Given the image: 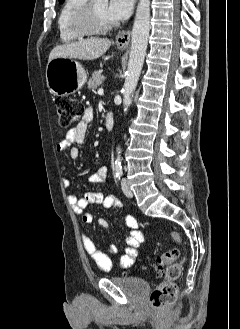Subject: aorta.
<instances>
[{"instance_id": "762f6f07", "label": "aorta", "mask_w": 240, "mask_h": 329, "mask_svg": "<svg viewBox=\"0 0 240 329\" xmlns=\"http://www.w3.org/2000/svg\"><path fill=\"white\" fill-rule=\"evenodd\" d=\"M107 2L108 0H102ZM150 31V0H139L132 29L131 48L128 68L123 86V105L126 112L132 103V95L136 89L143 67ZM119 153V147H117ZM116 164H120L117 157Z\"/></svg>"}]
</instances>
